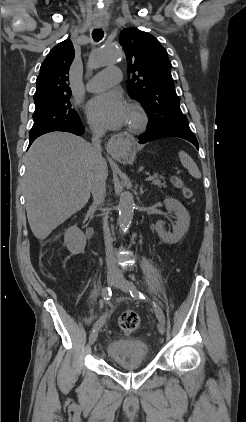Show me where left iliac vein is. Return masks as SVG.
<instances>
[{
	"mask_svg": "<svg viewBox=\"0 0 246 422\" xmlns=\"http://www.w3.org/2000/svg\"><path fill=\"white\" fill-rule=\"evenodd\" d=\"M115 286L124 292H129L131 288H134V285L129 281L125 280L121 275L117 278ZM158 331L160 334H164L165 327L163 322H159Z\"/></svg>",
	"mask_w": 246,
	"mask_h": 422,
	"instance_id": "obj_1",
	"label": "left iliac vein"
}]
</instances>
